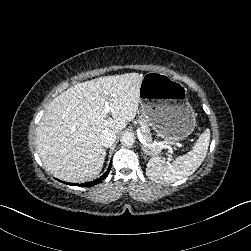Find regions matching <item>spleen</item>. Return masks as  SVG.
Returning <instances> with one entry per match:
<instances>
[{"instance_id":"obj_1","label":"spleen","mask_w":251,"mask_h":251,"mask_svg":"<svg viewBox=\"0 0 251 251\" xmlns=\"http://www.w3.org/2000/svg\"><path fill=\"white\" fill-rule=\"evenodd\" d=\"M210 142V130L206 129L197 139L193 150L179 156L172 165H166L159 157H152L147 164L146 175L158 183L174 182L193 174L204 161Z\"/></svg>"}]
</instances>
